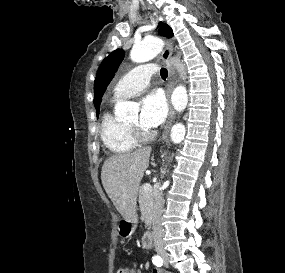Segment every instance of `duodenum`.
<instances>
[{
	"mask_svg": "<svg viewBox=\"0 0 285 273\" xmlns=\"http://www.w3.org/2000/svg\"><path fill=\"white\" fill-rule=\"evenodd\" d=\"M142 244L145 249H150L152 244V233L147 231L142 236Z\"/></svg>",
	"mask_w": 285,
	"mask_h": 273,
	"instance_id": "obj_1",
	"label": "duodenum"
}]
</instances>
